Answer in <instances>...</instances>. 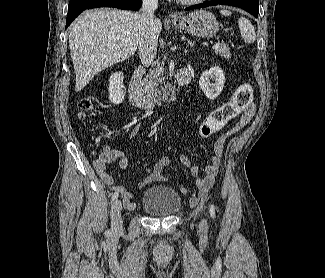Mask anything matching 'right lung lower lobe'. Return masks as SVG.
I'll return each instance as SVG.
<instances>
[{
    "label": "right lung lower lobe",
    "mask_w": 325,
    "mask_h": 278,
    "mask_svg": "<svg viewBox=\"0 0 325 278\" xmlns=\"http://www.w3.org/2000/svg\"><path fill=\"white\" fill-rule=\"evenodd\" d=\"M142 0H70L66 19L67 28L84 10L97 7H114L120 9L139 10Z\"/></svg>",
    "instance_id": "98d812e1"
}]
</instances>
